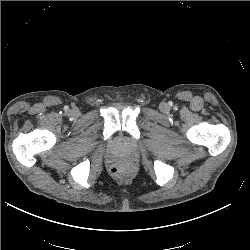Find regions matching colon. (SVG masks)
<instances>
[{
    "label": "colon",
    "instance_id": "5ec220e1",
    "mask_svg": "<svg viewBox=\"0 0 250 250\" xmlns=\"http://www.w3.org/2000/svg\"><path fill=\"white\" fill-rule=\"evenodd\" d=\"M112 174L116 177H123L128 174V170L121 166H116L112 169Z\"/></svg>",
    "mask_w": 250,
    "mask_h": 250
}]
</instances>
